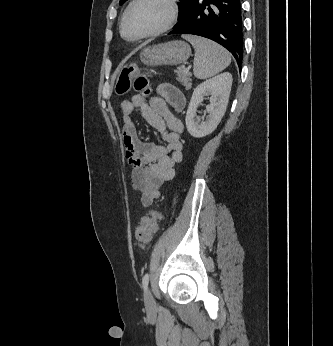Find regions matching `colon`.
Instances as JSON below:
<instances>
[{
  "instance_id": "1",
  "label": "colon",
  "mask_w": 333,
  "mask_h": 346,
  "mask_svg": "<svg viewBox=\"0 0 333 346\" xmlns=\"http://www.w3.org/2000/svg\"><path fill=\"white\" fill-rule=\"evenodd\" d=\"M132 88L145 96L149 95L151 91L147 77L139 71L136 65L130 64L122 68L115 90L118 95H125ZM160 219L161 215L157 211H151L142 218L134 232L138 245L147 244L151 240L152 235L157 230Z\"/></svg>"
}]
</instances>
